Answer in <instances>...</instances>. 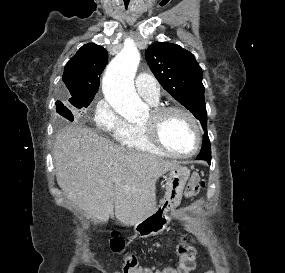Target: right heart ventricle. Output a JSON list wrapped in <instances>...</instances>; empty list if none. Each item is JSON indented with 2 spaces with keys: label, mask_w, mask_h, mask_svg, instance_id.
I'll use <instances>...</instances> for the list:
<instances>
[{
  "label": "right heart ventricle",
  "mask_w": 285,
  "mask_h": 273,
  "mask_svg": "<svg viewBox=\"0 0 285 273\" xmlns=\"http://www.w3.org/2000/svg\"><path fill=\"white\" fill-rule=\"evenodd\" d=\"M117 140L129 150L156 155L164 154L148 140L142 126L138 124H129L128 129Z\"/></svg>",
  "instance_id": "1"
}]
</instances>
